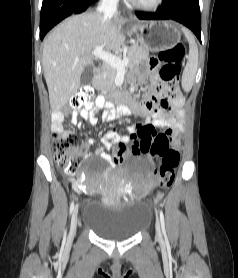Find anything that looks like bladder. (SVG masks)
I'll list each match as a JSON object with an SVG mask.
<instances>
[{
	"label": "bladder",
	"mask_w": 238,
	"mask_h": 278,
	"mask_svg": "<svg viewBox=\"0 0 238 278\" xmlns=\"http://www.w3.org/2000/svg\"><path fill=\"white\" fill-rule=\"evenodd\" d=\"M152 219L150 204H138V200L121 205L84 203L81 223L97 237L108 241H125L143 232Z\"/></svg>",
	"instance_id": "bladder-1"
}]
</instances>
